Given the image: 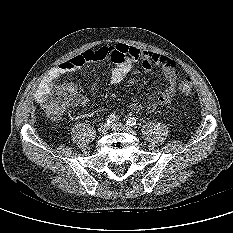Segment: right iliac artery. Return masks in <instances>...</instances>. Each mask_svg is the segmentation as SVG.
Listing matches in <instances>:
<instances>
[{
  "label": "right iliac artery",
  "instance_id": "right-iliac-artery-1",
  "mask_svg": "<svg viewBox=\"0 0 233 233\" xmlns=\"http://www.w3.org/2000/svg\"><path fill=\"white\" fill-rule=\"evenodd\" d=\"M117 120H118V117L115 116L114 114H111V115H109V116L106 118V122H107L108 124L114 123V122H116Z\"/></svg>",
  "mask_w": 233,
  "mask_h": 233
}]
</instances>
